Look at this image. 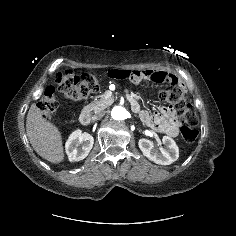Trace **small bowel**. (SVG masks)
<instances>
[{
	"instance_id": "obj_1",
	"label": "small bowel",
	"mask_w": 236,
	"mask_h": 236,
	"mask_svg": "<svg viewBox=\"0 0 236 236\" xmlns=\"http://www.w3.org/2000/svg\"><path fill=\"white\" fill-rule=\"evenodd\" d=\"M108 77L113 82H140L145 80L181 86L180 79L171 73L152 69L140 71L132 66H126L121 70L110 68L108 70ZM140 117L147 126L152 127L158 132L165 133L171 137H175L179 133V123L174 117V111L169 107H164L153 114L143 110L140 112Z\"/></svg>"
}]
</instances>
